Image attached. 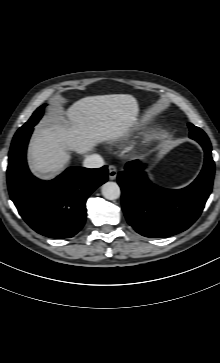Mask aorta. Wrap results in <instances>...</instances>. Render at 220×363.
I'll list each match as a JSON object with an SVG mask.
<instances>
[{
  "mask_svg": "<svg viewBox=\"0 0 220 363\" xmlns=\"http://www.w3.org/2000/svg\"><path fill=\"white\" fill-rule=\"evenodd\" d=\"M101 192L104 198L108 200H116L121 195V190L116 182H106L101 187Z\"/></svg>",
  "mask_w": 220,
  "mask_h": 363,
  "instance_id": "762f6f07",
  "label": "aorta"
}]
</instances>
